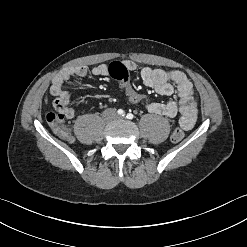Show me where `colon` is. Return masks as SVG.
Wrapping results in <instances>:
<instances>
[{
	"mask_svg": "<svg viewBox=\"0 0 247 247\" xmlns=\"http://www.w3.org/2000/svg\"><path fill=\"white\" fill-rule=\"evenodd\" d=\"M110 76L121 82L127 98L136 105H151L153 97L151 94H142L136 91L129 82V71L120 62H112L110 64ZM46 119L54 132L61 138L70 139L71 134L69 128L65 125V115L61 111L49 110ZM185 137V132L181 128H176L171 135L173 142H180Z\"/></svg>",
	"mask_w": 247,
	"mask_h": 247,
	"instance_id": "5ec220e1",
	"label": "colon"
}]
</instances>
